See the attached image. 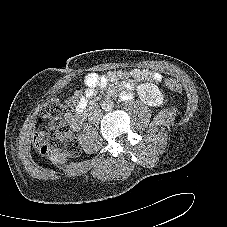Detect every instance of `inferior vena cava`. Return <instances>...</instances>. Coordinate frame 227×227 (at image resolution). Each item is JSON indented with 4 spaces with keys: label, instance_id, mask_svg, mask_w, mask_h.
<instances>
[{
    "label": "inferior vena cava",
    "instance_id": "1",
    "mask_svg": "<svg viewBox=\"0 0 227 227\" xmlns=\"http://www.w3.org/2000/svg\"><path fill=\"white\" fill-rule=\"evenodd\" d=\"M102 111L101 109H94L90 112V121L91 122H95L97 120H99L102 117Z\"/></svg>",
    "mask_w": 227,
    "mask_h": 227
}]
</instances>
